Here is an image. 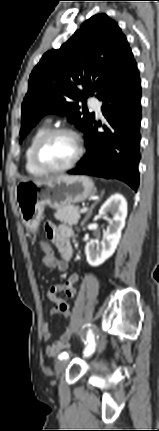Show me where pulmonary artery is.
<instances>
[{
	"label": "pulmonary artery",
	"instance_id": "pulmonary-artery-1",
	"mask_svg": "<svg viewBox=\"0 0 159 431\" xmlns=\"http://www.w3.org/2000/svg\"><path fill=\"white\" fill-rule=\"evenodd\" d=\"M89 105L96 112V114L101 115V106L102 105L98 99L91 97L89 99Z\"/></svg>",
	"mask_w": 159,
	"mask_h": 431
}]
</instances>
